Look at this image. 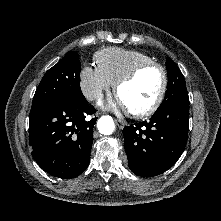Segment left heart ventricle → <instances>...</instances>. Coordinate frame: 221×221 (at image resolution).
<instances>
[{
    "label": "left heart ventricle",
    "mask_w": 221,
    "mask_h": 221,
    "mask_svg": "<svg viewBox=\"0 0 221 221\" xmlns=\"http://www.w3.org/2000/svg\"><path fill=\"white\" fill-rule=\"evenodd\" d=\"M162 85V74L157 68L141 72L132 82L124 85L118 97L130 111L143 110L156 99Z\"/></svg>",
    "instance_id": "1"
}]
</instances>
